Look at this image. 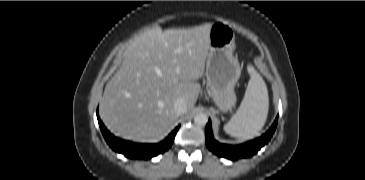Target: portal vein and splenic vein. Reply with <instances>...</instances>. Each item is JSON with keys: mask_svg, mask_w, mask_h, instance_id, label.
Segmentation results:
<instances>
[{"mask_svg": "<svg viewBox=\"0 0 365 180\" xmlns=\"http://www.w3.org/2000/svg\"><path fill=\"white\" fill-rule=\"evenodd\" d=\"M176 53H178V52H180V48L179 49H176V51H175Z\"/></svg>", "mask_w": 365, "mask_h": 180, "instance_id": "obj_1", "label": "portal vein and splenic vein"}]
</instances>
